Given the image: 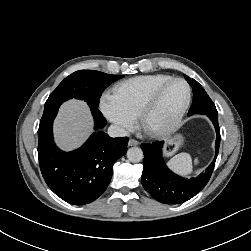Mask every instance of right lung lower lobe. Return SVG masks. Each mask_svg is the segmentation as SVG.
<instances>
[{"mask_svg":"<svg viewBox=\"0 0 251 251\" xmlns=\"http://www.w3.org/2000/svg\"><path fill=\"white\" fill-rule=\"evenodd\" d=\"M62 103L46 106L38 129V158L41 173L50 189L64 201L84 205L96 200L106 190L112 166L125 155L128 138H111L94 132L88 141L72 152L61 151L53 141V120ZM95 129L107 121L94 105H89Z\"/></svg>","mask_w":251,"mask_h":251,"instance_id":"obj_1","label":"right lung lower lobe"}]
</instances>
